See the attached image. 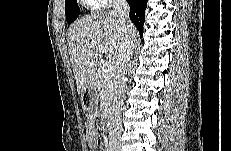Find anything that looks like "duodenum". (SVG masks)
Instances as JSON below:
<instances>
[{
  "mask_svg": "<svg viewBox=\"0 0 231 151\" xmlns=\"http://www.w3.org/2000/svg\"><path fill=\"white\" fill-rule=\"evenodd\" d=\"M109 118H110V114H109L108 111H106L105 112V117H104L105 121H108Z\"/></svg>",
  "mask_w": 231,
  "mask_h": 151,
  "instance_id": "obj_1",
  "label": "duodenum"
}]
</instances>
